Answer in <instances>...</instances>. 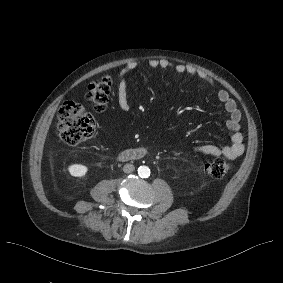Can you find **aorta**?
<instances>
[{"label": "aorta", "instance_id": "obj_1", "mask_svg": "<svg viewBox=\"0 0 283 283\" xmlns=\"http://www.w3.org/2000/svg\"><path fill=\"white\" fill-rule=\"evenodd\" d=\"M138 175L141 178H148L150 176V169L147 166H140L138 168Z\"/></svg>", "mask_w": 283, "mask_h": 283}]
</instances>
